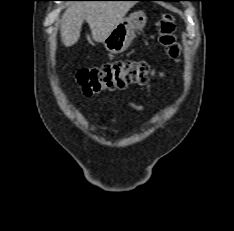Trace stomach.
Here are the masks:
<instances>
[{
  "instance_id": "obj_1",
  "label": "stomach",
  "mask_w": 234,
  "mask_h": 231,
  "mask_svg": "<svg viewBox=\"0 0 234 231\" xmlns=\"http://www.w3.org/2000/svg\"><path fill=\"white\" fill-rule=\"evenodd\" d=\"M147 17L143 11H135L122 21L102 41L107 51L112 54L124 52L131 44L135 31L142 30L146 25Z\"/></svg>"
}]
</instances>
